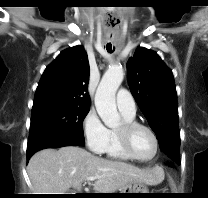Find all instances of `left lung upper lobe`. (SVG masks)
<instances>
[{"label": "left lung upper lobe", "mask_w": 208, "mask_h": 198, "mask_svg": "<svg viewBox=\"0 0 208 198\" xmlns=\"http://www.w3.org/2000/svg\"><path fill=\"white\" fill-rule=\"evenodd\" d=\"M128 84L168 159L180 164L177 93L172 71L158 54L139 47L127 62Z\"/></svg>", "instance_id": "left-lung-upper-lobe-1"}]
</instances>
